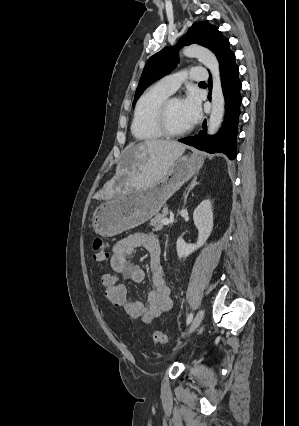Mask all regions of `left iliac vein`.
<instances>
[{"label":"left iliac vein","mask_w":299,"mask_h":426,"mask_svg":"<svg viewBox=\"0 0 299 426\" xmlns=\"http://www.w3.org/2000/svg\"><path fill=\"white\" fill-rule=\"evenodd\" d=\"M203 318H204V310L200 309L197 312V314L195 315V317H194V319H193V321H192V323H191V325L189 327L187 335L192 334L198 328V326L202 322Z\"/></svg>","instance_id":"left-iliac-vein-1"}]
</instances>
